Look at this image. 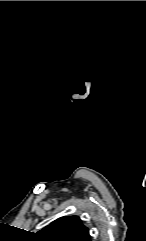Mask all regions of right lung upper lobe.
Masks as SVG:
<instances>
[{"mask_svg":"<svg viewBox=\"0 0 146 241\" xmlns=\"http://www.w3.org/2000/svg\"><path fill=\"white\" fill-rule=\"evenodd\" d=\"M35 241H91L89 229L78 216H64L34 234Z\"/></svg>","mask_w":146,"mask_h":241,"instance_id":"1","label":"right lung upper lobe"}]
</instances>
